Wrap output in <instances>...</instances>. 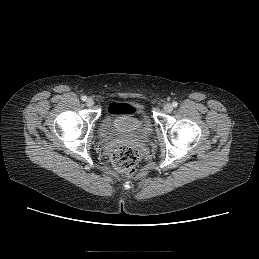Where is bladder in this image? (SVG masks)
Segmentation results:
<instances>
[{"instance_id": "31cf9c89", "label": "bladder", "mask_w": 259, "mask_h": 259, "mask_svg": "<svg viewBox=\"0 0 259 259\" xmlns=\"http://www.w3.org/2000/svg\"><path fill=\"white\" fill-rule=\"evenodd\" d=\"M101 131L106 137L128 134L145 136L152 133L153 125L141 104H116L106 109Z\"/></svg>"}]
</instances>
